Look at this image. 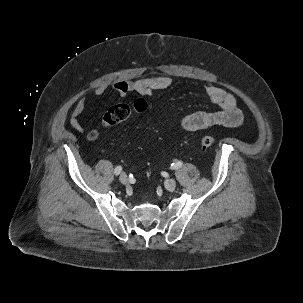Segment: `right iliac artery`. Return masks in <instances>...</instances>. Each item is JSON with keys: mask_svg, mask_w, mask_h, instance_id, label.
I'll return each instance as SVG.
<instances>
[{"mask_svg": "<svg viewBox=\"0 0 303 303\" xmlns=\"http://www.w3.org/2000/svg\"><path fill=\"white\" fill-rule=\"evenodd\" d=\"M122 171V167L121 166H117L115 169H114V174L115 175H119Z\"/></svg>", "mask_w": 303, "mask_h": 303, "instance_id": "right-iliac-artery-1", "label": "right iliac artery"}]
</instances>
